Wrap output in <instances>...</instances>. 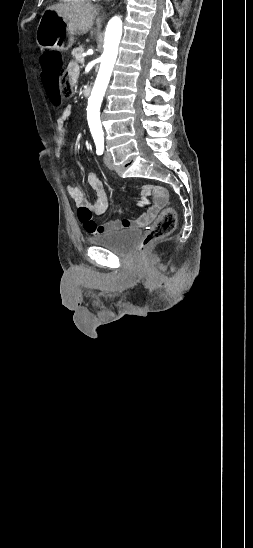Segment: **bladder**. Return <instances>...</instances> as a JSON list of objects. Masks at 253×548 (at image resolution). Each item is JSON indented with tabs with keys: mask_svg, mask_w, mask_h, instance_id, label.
<instances>
[{
	"mask_svg": "<svg viewBox=\"0 0 253 548\" xmlns=\"http://www.w3.org/2000/svg\"><path fill=\"white\" fill-rule=\"evenodd\" d=\"M141 232L137 229L110 231L89 238L92 245L106 248L117 254L127 253Z\"/></svg>",
	"mask_w": 253,
	"mask_h": 548,
	"instance_id": "1",
	"label": "bladder"
}]
</instances>
